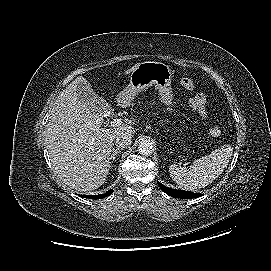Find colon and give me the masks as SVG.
I'll use <instances>...</instances> for the list:
<instances>
[{
    "mask_svg": "<svg viewBox=\"0 0 271 271\" xmlns=\"http://www.w3.org/2000/svg\"><path fill=\"white\" fill-rule=\"evenodd\" d=\"M180 85L186 90H193L195 88L194 81L188 77H184L180 80ZM222 133V129L218 125H214L209 129V135L213 138L219 137Z\"/></svg>",
    "mask_w": 271,
    "mask_h": 271,
    "instance_id": "1",
    "label": "colon"
}]
</instances>
